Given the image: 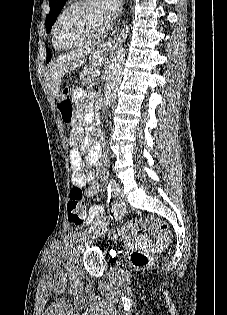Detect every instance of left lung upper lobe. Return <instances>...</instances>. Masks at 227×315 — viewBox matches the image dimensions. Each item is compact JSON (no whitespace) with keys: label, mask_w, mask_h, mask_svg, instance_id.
Masks as SVG:
<instances>
[{"label":"left lung upper lobe","mask_w":227,"mask_h":315,"mask_svg":"<svg viewBox=\"0 0 227 315\" xmlns=\"http://www.w3.org/2000/svg\"><path fill=\"white\" fill-rule=\"evenodd\" d=\"M67 0H49L50 12L46 17L45 25L47 33H50L51 28L58 16L61 12L63 6L65 5ZM51 59V52L47 49V62Z\"/></svg>","instance_id":"obj_1"}]
</instances>
